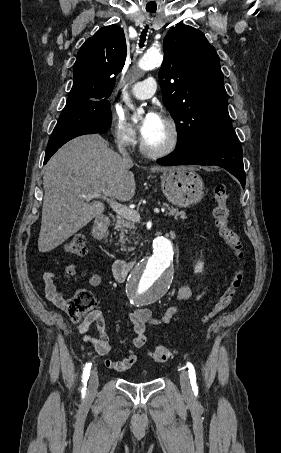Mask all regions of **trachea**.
Returning a JSON list of instances; mask_svg holds the SVG:
<instances>
[{
	"instance_id": "1",
	"label": "trachea",
	"mask_w": 281,
	"mask_h": 453,
	"mask_svg": "<svg viewBox=\"0 0 281 453\" xmlns=\"http://www.w3.org/2000/svg\"><path fill=\"white\" fill-rule=\"evenodd\" d=\"M147 28H145V30H143V32L141 33V36H140V47H143L144 46V42L146 40V32H147Z\"/></svg>"
}]
</instances>
